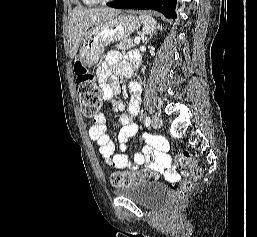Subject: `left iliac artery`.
Segmentation results:
<instances>
[{"label":"left iliac artery","mask_w":257,"mask_h":237,"mask_svg":"<svg viewBox=\"0 0 257 237\" xmlns=\"http://www.w3.org/2000/svg\"><path fill=\"white\" fill-rule=\"evenodd\" d=\"M144 122H145L146 127H148V126L150 125V123H151L150 117L147 116V117L145 118V121H144Z\"/></svg>","instance_id":"1"}]
</instances>
